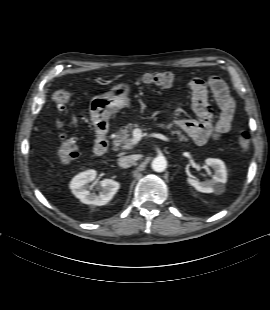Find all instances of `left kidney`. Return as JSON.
Segmentation results:
<instances>
[{
    "label": "left kidney",
    "instance_id": "5707ae66",
    "mask_svg": "<svg viewBox=\"0 0 270 310\" xmlns=\"http://www.w3.org/2000/svg\"><path fill=\"white\" fill-rule=\"evenodd\" d=\"M205 164L214 170L212 179L200 182L195 178L188 177L187 182L199 192L222 194L225 191L224 184L227 182V170L224 162L220 159L207 158Z\"/></svg>",
    "mask_w": 270,
    "mask_h": 310
}]
</instances>
